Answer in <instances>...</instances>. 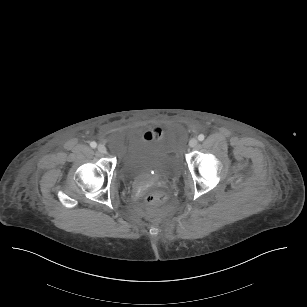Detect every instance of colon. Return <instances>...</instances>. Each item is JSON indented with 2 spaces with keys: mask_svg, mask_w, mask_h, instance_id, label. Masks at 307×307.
Here are the masks:
<instances>
[{
  "mask_svg": "<svg viewBox=\"0 0 307 307\" xmlns=\"http://www.w3.org/2000/svg\"><path fill=\"white\" fill-rule=\"evenodd\" d=\"M144 138L148 141L161 140L163 138V132L161 128L155 127L151 131L144 134ZM165 198V195L160 194L157 191H152L146 196V201L152 205H159Z\"/></svg>",
  "mask_w": 307,
  "mask_h": 307,
  "instance_id": "5ec220e1",
  "label": "colon"
}]
</instances>
